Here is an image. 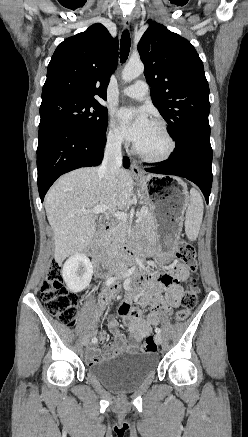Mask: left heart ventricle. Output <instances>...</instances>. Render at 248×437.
Masks as SVG:
<instances>
[{
    "label": "left heart ventricle",
    "instance_id": "obj_1",
    "mask_svg": "<svg viewBox=\"0 0 248 437\" xmlns=\"http://www.w3.org/2000/svg\"><path fill=\"white\" fill-rule=\"evenodd\" d=\"M136 147L146 155L157 157L165 153L168 148V142L159 127L152 124L136 144Z\"/></svg>",
    "mask_w": 248,
    "mask_h": 437
}]
</instances>
